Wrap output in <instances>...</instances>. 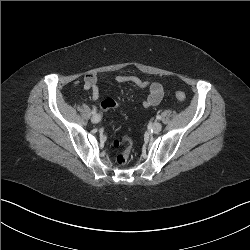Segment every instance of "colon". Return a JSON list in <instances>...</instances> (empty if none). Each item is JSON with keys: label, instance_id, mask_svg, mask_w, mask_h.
Listing matches in <instances>:
<instances>
[{"label": "colon", "instance_id": "colon-1", "mask_svg": "<svg viewBox=\"0 0 250 250\" xmlns=\"http://www.w3.org/2000/svg\"><path fill=\"white\" fill-rule=\"evenodd\" d=\"M176 98L183 102L186 99V95L183 91H176ZM101 106L104 110L114 108L115 112L121 111V106L116 105V102L113 99H106L101 103ZM114 145L119 147L121 145H125V149L120 152L116 157V162L118 165H124L127 163L129 156L132 152L133 148V136L129 133L123 135L121 138L115 140Z\"/></svg>", "mask_w": 250, "mask_h": 250}]
</instances>
